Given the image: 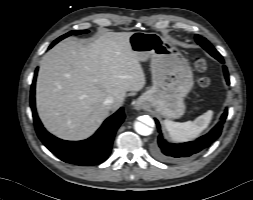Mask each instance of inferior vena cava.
I'll use <instances>...</instances> for the list:
<instances>
[{
    "instance_id": "inferior-vena-cava-1",
    "label": "inferior vena cava",
    "mask_w": 253,
    "mask_h": 200,
    "mask_svg": "<svg viewBox=\"0 0 253 200\" xmlns=\"http://www.w3.org/2000/svg\"><path fill=\"white\" fill-rule=\"evenodd\" d=\"M115 102V99L111 96L107 97L105 100H104V105L111 109L113 107V104Z\"/></svg>"
}]
</instances>
